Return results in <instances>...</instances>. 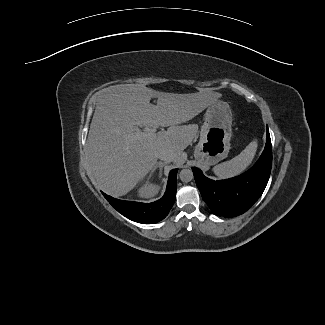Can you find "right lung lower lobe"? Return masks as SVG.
<instances>
[{
	"label": "right lung lower lobe",
	"instance_id": "right-lung-lower-lobe-1",
	"mask_svg": "<svg viewBox=\"0 0 325 325\" xmlns=\"http://www.w3.org/2000/svg\"><path fill=\"white\" fill-rule=\"evenodd\" d=\"M177 172V169L170 171L164 196L152 203L124 201L108 196L103 192L102 194L119 213L130 220L143 224L156 223L167 216L174 204L177 188Z\"/></svg>",
	"mask_w": 325,
	"mask_h": 325
}]
</instances>
